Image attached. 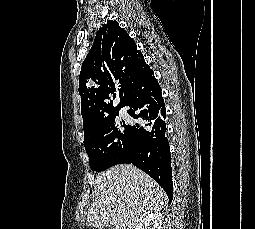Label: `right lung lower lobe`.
Masks as SVG:
<instances>
[{"mask_svg": "<svg viewBox=\"0 0 255 229\" xmlns=\"http://www.w3.org/2000/svg\"><path fill=\"white\" fill-rule=\"evenodd\" d=\"M124 106L139 119L131 125L133 154L122 163H131L152 177L173 199L169 142L166 138V111L160 85L147 66L133 80Z\"/></svg>", "mask_w": 255, "mask_h": 229, "instance_id": "1", "label": "right lung lower lobe"}]
</instances>
